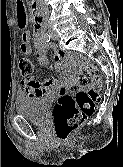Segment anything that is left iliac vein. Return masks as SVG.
I'll use <instances>...</instances> for the list:
<instances>
[{
    "label": "left iliac vein",
    "mask_w": 123,
    "mask_h": 167,
    "mask_svg": "<svg viewBox=\"0 0 123 167\" xmlns=\"http://www.w3.org/2000/svg\"><path fill=\"white\" fill-rule=\"evenodd\" d=\"M50 34H51L53 40L59 39L58 34L54 30H50Z\"/></svg>",
    "instance_id": "obj_1"
}]
</instances>
